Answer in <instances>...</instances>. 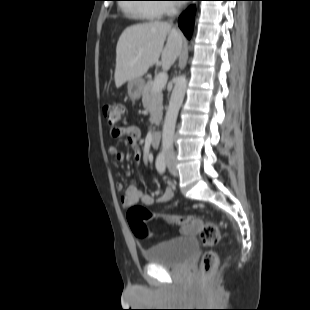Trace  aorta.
<instances>
[{"label": "aorta", "instance_id": "obj_1", "mask_svg": "<svg viewBox=\"0 0 310 310\" xmlns=\"http://www.w3.org/2000/svg\"><path fill=\"white\" fill-rule=\"evenodd\" d=\"M187 79L185 75H180L175 82L174 89L172 91L169 106L166 111L163 131H162V146L163 149H168L173 146L175 125L178 116L179 109L183 103V99L186 93Z\"/></svg>", "mask_w": 310, "mask_h": 310}]
</instances>
